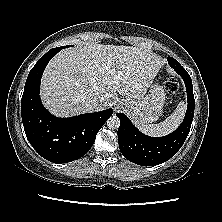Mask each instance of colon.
Here are the masks:
<instances>
[{
    "label": "colon",
    "mask_w": 222,
    "mask_h": 222,
    "mask_svg": "<svg viewBox=\"0 0 222 222\" xmlns=\"http://www.w3.org/2000/svg\"><path fill=\"white\" fill-rule=\"evenodd\" d=\"M165 88L168 93L174 94L178 91V81L173 76H168L165 80Z\"/></svg>",
    "instance_id": "obj_1"
}]
</instances>
